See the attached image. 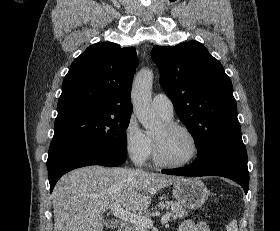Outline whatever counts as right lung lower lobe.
<instances>
[{"mask_svg":"<svg viewBox=\"0 0 280 231\" xmlns=\"http://www.w3.org/2000/svg\"><path fill=\"white\" fill-rule=\"evenodd\" d=\"M126 160L117 152L107 151L92 144L71 139L52 140L48 153L47 169L50 193L65 173L84 166H119Z\"/></svg>","mask_w":280,"mask_h":231,"instance_id":"98d812e1","label":"right lung lower lobe"}]
</instances>
